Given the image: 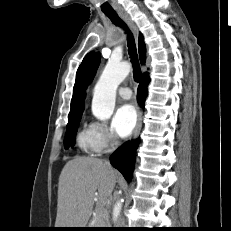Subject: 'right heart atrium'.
Wrapping results in <instances>:
<instances>
[{
	"label": "right heart atrium",
	"instance_id": "right-heart-atrium-1",
	"mask_svg": "<svg viewBox=\"0 0 231 231\" xmlns=\"http://www.w3.org/2000/svg\"><path fill=\"white\" fill-rule=\"evenodd\" d=\"M94 129L97 141L102 151L110 150L118 143L117 137L112 128L102 122H94L91 124Z\"/></svg>",
	"mask_w": 231,
	"mask_h": 231
}]
</instances>
